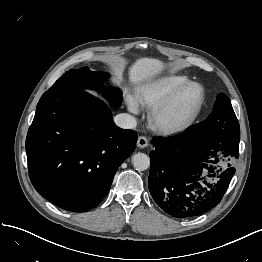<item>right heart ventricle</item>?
<instances>
[{
  "label": "right heart ventricle",
  "instance_id": "e07e8e85",
  "mask_svg": "<svg viewBox=\"0 0 262 262\" xmlns=\"http://www.w3.org/2000/svg\"><path fill=\"white\" fill-rule=\"evenodd\" d=\"M187 81L189 77L183 74H168L151 80L137 89V101L143 106L153 107Z\"/></svg>",
  "mask_w": 262,
  "mask_h": 262
}]
</instances>
